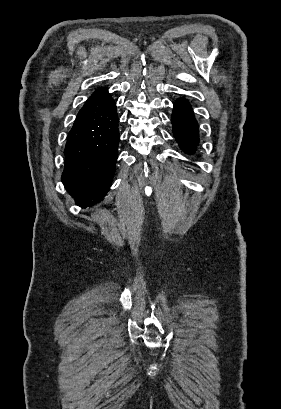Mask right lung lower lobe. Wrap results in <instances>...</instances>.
Instances as JSON below:
<instances>
[{
	"label": "right lung lower lobe",
	"instance_id": "98d812e1",
	"mask_svg": "<svg viewBox=\"0 0 281 409\" xmlns=\"http://www.w3.org/2000/svg\"><path fill=\"white\" fill-rule=\"evenodd\" d=\"M119 118L106 88L93 92L77 114L65 146L62 182L81 207L107 193L118 157Z\"/></svg>",
	"mask_w": 281,
	"mask_h": 409
}]
</instances>
